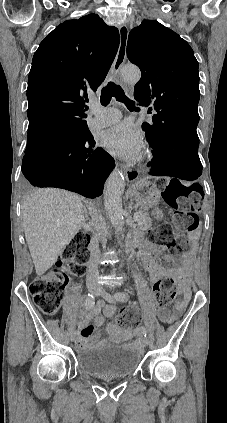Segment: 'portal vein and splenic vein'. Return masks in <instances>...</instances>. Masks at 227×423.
Listing matches in <instances>:
<instances>
[{
    "mask_svg": "<svg viewBox=\"0 0 227 423\" xmlns=\"http://www.w3.org/2000/svg\"><path fill=\"white\" fill-rule=\"evenodd\" d=\"M138 219H139L138 214H135V216H134V221H137Z\"/></svg>",
    "mask_w": 227,
    "mask_h": 423,
    "instance_id": "portal-vein-and-splenic-vein-1",
    "label": "portal vein and splenic vein"
}]
</instances>
